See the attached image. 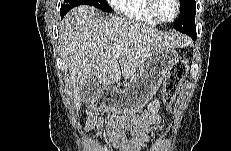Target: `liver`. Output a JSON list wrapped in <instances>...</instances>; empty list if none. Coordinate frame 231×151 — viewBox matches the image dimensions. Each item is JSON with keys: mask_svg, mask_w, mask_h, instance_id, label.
<instances>
[{"mask_svg": "<svg viewBox=\"0 0 231 151\" xmlns=\"http://www.w3.org/2000/svg\"><path fill=\"white\" fill-rule=\"evenodd\" d=\"M186 42L187 38L178 33H163L87 5L71 9L59 24L60 52L77 102L92 74L107 88L118 81L120 74L125 79L132 77L153 51L181 47Z\"/></svg>", "mask_w": 231, "mask_h": 151, "instance_id": "6515ba94", "label": "liver"}]
</instances>
